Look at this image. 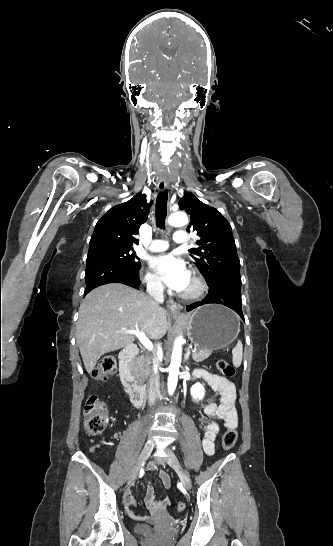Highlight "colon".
I'll return each instance as SVG.
<instances>
[{
    "label": "colon",
    "instance_id": "5ec220e1",
    "mask_svg": "<svg viewBox=\"0 0 333 546\" xmlns=\"http://www.w3.org/2000/svg\"><path fill=\"white\" fill-rule=\"evenodd\" d=\"M217 370L227 376L235 375V368L226 360L220 359L216 362ZM116 371V360L111 355L103 356L93 370V376L96 379H104ZM109 416L105 404L97 397H90L84 407V429L89 435H95L102 432L107 426ZM237 431L228 429L222 437V446L224 449H231L237 442ZM185 509L184 502L176 504V510L181 512Z\"/></svg>",
    "mask_w": 333,
    "mask_h": 546
}]
</instances>
